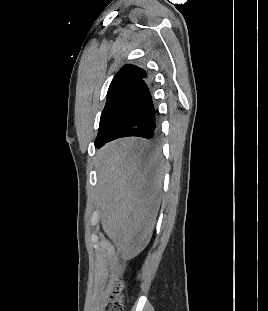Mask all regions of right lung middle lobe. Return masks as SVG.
Segmentation results:
<instances>
[{
    "mask_svg": "<svg viewBox=\"0 0 268 311\" xmlns=\"http://www.w3.org/2000/svg\"><path fill=\"white\" fill-rule=\"evenodd\" d=\"M135 86L129 85L115 90L107 95V102L101 114L99 131L95 143L100 141L106 131L111 127L121 110L130 99Z\"/></svg>",
    "mask_w": 268,
    "mask_h": 311,
    "instance_id": "obj_1",
    "label": "right lung middle lobe"
}]
</instances>
